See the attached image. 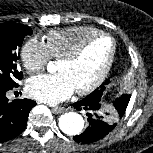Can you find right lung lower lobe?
I'll return each instance as SVG.
<instances>
[{
  "label": "right lung lower lobe",
  "mask_w": 153,
  "mask_h": 153,
  "mask_svg": "<svg viewBox=\"0 0 153 153\" xmlns=\"http://www.w3.org/2000/svg\"><path fill=\"white\" fill-rule=\"evenodd\" d=\"M12 88L0 86V142L18 136L27 125L30 110L36 105L30 99H15L12 102L6 92Z\"/></svg>",
  "instance_id": "right-lung-lower-lobe-1"
}]
</instances>
